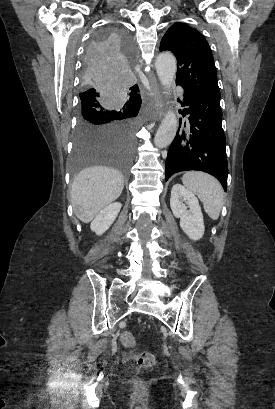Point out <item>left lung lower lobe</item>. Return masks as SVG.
Listing matches in <instances>:
<instances>
[{
  "label": "left lung lower lobe",
  "instance_id": "left-lung-lower-lobe-1",
  "mask_svg": "<svg viewBox=\"0 0 275 409\" xmlns=\"http://www.w3.org/2000/svg\"><path fill=\"white\" fill-rule=\"evenodd\" d=\"M184 89L186 98L182 106L189 107L179 113L183 117L189 114L188 125L177 131L170 145L165 179L181 171L199 170L215 176L226 191L228 168L220 99Z\"/></svg>",
  "mask_w": 275,
  "mask_h": 409
}]
</instances>
